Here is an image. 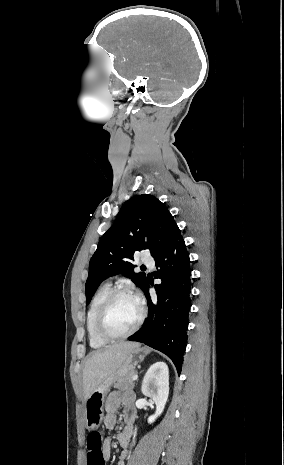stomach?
I'll list each match as a JSON object with an SVG mask.
<instances>
[{"label": "stomach", "mask_w": 284, "mask_h": 465, "mask_svg": "<svg viewBox=\"0 0 284 465\" xmlns=\"http://www.w3.org/2000/svg\"><path fill=\"white\" fill-rule=\"evenodd\" d=\"M149 349L147 347H135L128 353L122 367L105 377L102 383L96 387L95 391L91 393L90 397L84 401V419L85 427L88 431H95L100 427L104 417V403L105 399L115 381L119 379L120 375H127L130 371H134L136 365L144 361L148 355Z\"/></svg>", "instance_id": "stomach-1"}]
</instances>
